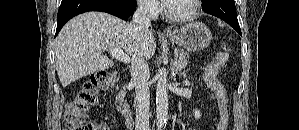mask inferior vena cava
Instances as JSON below:
<instances>
[{
  "instance_id": "1",
  "label": "inferior vena cava",
  "mask_w": 299,
  "mask_h": 130,
  "mask_svg": "<svg viewBox=\"0 0 299 130\" xmlns=\"http://www.w3.org/2000/svg\"><path fill=\"white\" fill-rule=\"evenodd\" d=\"M149 6L141 3L133 14L132 22L139 29H148L151 21L148 17ZM131 77L136 91V123L135 130H149L150 92L148 80L150 77L147 62L140 57L131 61Z\"/></svg>"
}]
</instances>
